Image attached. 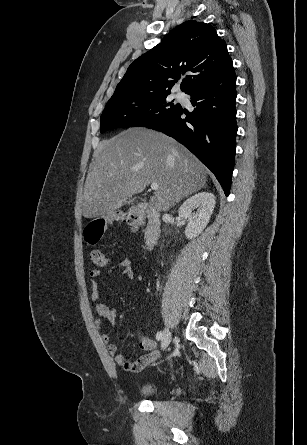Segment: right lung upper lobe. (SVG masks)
I'll use <instances>...</instances> for the list:
<instances>
[{
    "label": "right lung upper lobe",
    "mask_w": 307,
    "mask_h": 445,
    "mask_svg": "<svg viewBox=\"0 0 307 445\" xmlns=\"http://www.w3.org/2000/svg\"><path fill=\"white\" fill-rule=\"evenodd\" d=\"M232 63L226 43L209 24L189 20L177 26L154 48L128 68L111 98L170 94L186 71L181 84L185 93Z\"/></svg>",
    "instance_id": "1"
}]
</instances>
